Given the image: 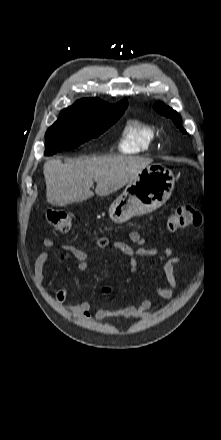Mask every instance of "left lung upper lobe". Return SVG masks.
<instances>
[{"mask_svg":"<svg viewBox=\"0 0 221 440\" xmlns=\"http://www.w3.org/2000/svg\"><path fill=\"white\" fill-rule=\"evenodd\" d=\"M156 111L166 117H169L173 120L176 126L183 132L186 133V130L182 127L181 117L180 115L174 111L170 107H166L165 105L158 103L156 106Z\"/></svg>","mask_w":221,"mask_h":440,"instance_id":"obj_1","label":"left lung upper lobe"}]
</instances>
